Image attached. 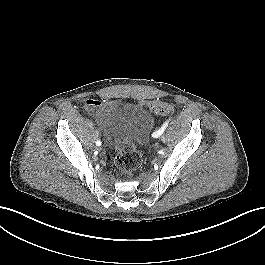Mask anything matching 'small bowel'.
Returning <instances> with one entry per match:
<instances>
[{
    "label": "small bowel",
    "instance_id": "1",
    "mask_svg": "<svg viewBox=\"0 0 265 265\" xmlns=\"http://www.w3.org/2000/svg\"><path fill=\"white\" fill-rule=\"evenodd\" d=\"M111 107L110 102H103L98 99H88L85 102V109L93 112L96 116H100L104 111Z\"/></svg>",
    "mask_w": 265,
    "mask_h": 265
}]
</instances>
